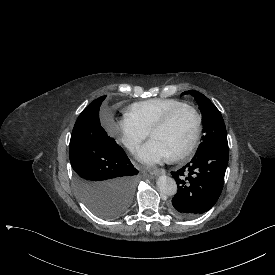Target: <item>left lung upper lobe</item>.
Returning <instances> with one entry per match:
<instances>
[{"instance_id": "obj_1", "label": "left lung upper lobe", "mask_w": 275, "mask_h": 275, "mask_svg": "<svg viewBox=\"0 0 275 275\" xmlns=\"http://www.w3.org/2000/svg\"><path fill=\"white\" fill-rule=\"evenodd\" d=\"M187 93L191 94L196 99L203 117V131L205 135L195 155H199L212 147H228L226 128L219 110L201 93L195 90L184 92V94Z\"/></svg>"}]
</instances>
